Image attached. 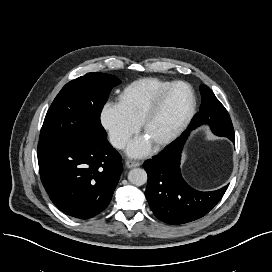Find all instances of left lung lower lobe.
Masks as SVG:
<instances>
[{
	"instance_id": "1",
	"label": "left lung lower lobe",
	"mask_w": 272,
	"mask_h": 272,
	"mask_svg": "<svg viewBox=\"0 0 272 272\" xmlns=\"http://www.w3.org/2000/svg\"><path fill=\"white\" fill-rule=\"evenodd\" d=\"M229 121L232 124L231 119ZM199 125L192 121L180 138L143 165L148 174L147 201L155 216L168 224L179 225L203 217L221 200L228 188L227 185L217 191L201 192L191 188L182 178V147L190 131ZM215 134L235 140L234 131Z\"/></svg>"
}]
</instances>
